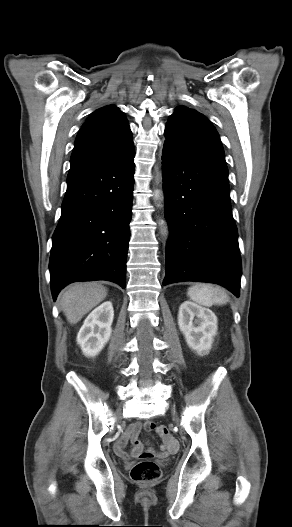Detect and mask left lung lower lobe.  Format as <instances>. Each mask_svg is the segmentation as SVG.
Here are the masks:
<instances>
[{
    "mask_svg": "<svg viewBox=\"0 0 292 527\" xmlns=\"http://www.w3.org/2000/svg\"><path fill=\"white\" fill-rule=\"evenodd\" d=\"M165 216L170 226L163 284H220L239 296L241 258L227 166L164 145Z\"/></svg>",
    "mask_w": 292,
    "mask_h": 527,
    "instance_id": "1",
    "label": "left lung lower lobe"
}]
</instances>
